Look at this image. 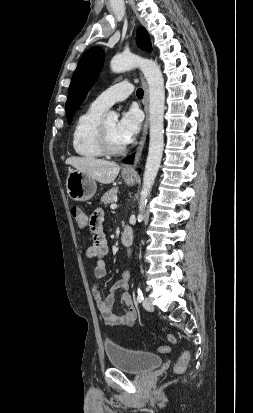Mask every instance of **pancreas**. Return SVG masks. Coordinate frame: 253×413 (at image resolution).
<instances>
[{"label":"pancreas","mask_w":253,"mask_h":413,"mask_svg":"<svg viewBox=\"0 0 253 413\" xmlns=\"http://www.w3.org/2000/svg\"><path fill=\"white\" fill-rule=\"evenodd\" d=\"M117 192H118V188H112L111 190L106 192L101 198V203L105 205L113 203L114 200L116 199Z\"/></svg>","instance_id":"pancreas-1"}]
</instances>
